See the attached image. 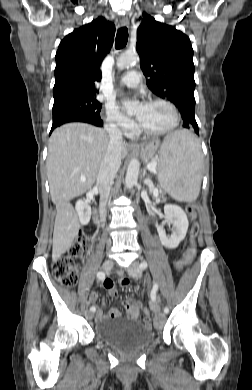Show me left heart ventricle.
<instances>
[{
  "mask_svg": "<svg viewBox=\"0 0 252 390\" xmlns=\"http://www.w3.org/2000/svg\"><path fill=\"white\" fill-rule=\"evenodd\" d=\"M135 117L143 127L149 130L166 129L174 119L171 109L163 103L142 104L135 110Z\"/></svg>",
  "mask_w": 252,
  "mask_h": 390,
  "instance_id": "obj_1",
  "label": "left heart ventricle"
}]
</instances>
